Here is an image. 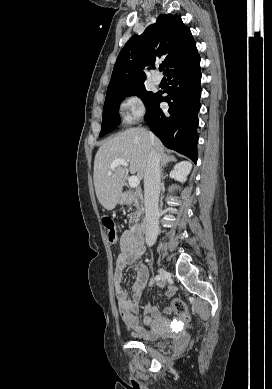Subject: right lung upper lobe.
<instances>
[{
    "mask_svg": "<svg viewBox=\"0 0 272 389\" xmlns=\"http://www.w3.org/2000/svg\"><path fill=\"white\" fill-rule=\"evenodd\" d=\"M198 55L190 29L178 15H160L141 35L132 36L121 50L107 93L144 83V67L163 60L167 75Z\"/></svg>",
    "mask_w": 272,
    "mask_h": 389,
    "instance_id": "obj_1",
    "label": "right lung upper lobe"
}]
</instances>
